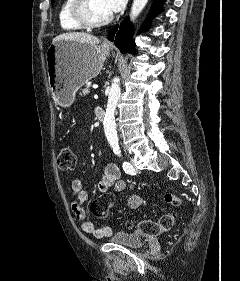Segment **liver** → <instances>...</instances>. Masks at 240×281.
I'll list each match as a JSON object with an SVG mask.
<instances>
[{"label": "liver", "mask_w": 240, "mask_h": 281, "mask_svg": "<svg viewBox=\"0 0 240 281\" xmlns=\"http://www.w3.org/2000/svg\"><path fill=\"white\" fill-rule=\"evenodd\" d=\"M76 40L80 41L82 43H88L91 45H96L100 42L99 38L93 35H90L88 33L84 32H69V33H63L58 36H56L53 39V42L59 41V40Z\"/></svg>", "instance_id": "6515ba94"}]
</instances>
